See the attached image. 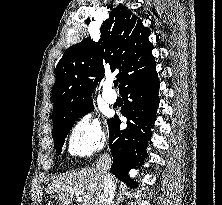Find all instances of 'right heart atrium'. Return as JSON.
Masks as SVG:
<instances>
[{"mask_svg":"<svg viewBox=\"0 0 222 205\" xmlns=\"http://www.w3.org/2000/svg\"><path fill=\"white\" fill-rule=\"evenodd\" d=\"M106 135L92 115H83L74 124L68 138V151L73 155L90 156L104 146Z\"/></svg>","mask_w":222,"mask_h":205,"instance_id":"1","label":"right heart atrium"}]
</instances>
